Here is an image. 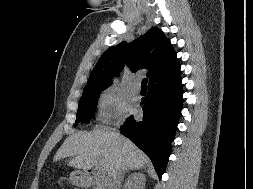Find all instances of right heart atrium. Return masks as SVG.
Listing matches in <instances>:
<instances>
[{"label": "right heart atrium", "instance_id": "right-heart-atrium-1", "mask_svg": "<svg viewBox=\"0 0 253 189\" xmlns=\"http://www.w3.org/2000/svg\"><path fill=\"white\" fill-rule=\"evenodd\" d=\"M126 104L122 95L115 89L104 91L98 101V118L103 123L120 119L125 112Z\"/></svg>", "mask_w": 253, "mask_h": 189}]
</instances>
